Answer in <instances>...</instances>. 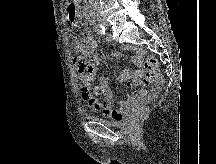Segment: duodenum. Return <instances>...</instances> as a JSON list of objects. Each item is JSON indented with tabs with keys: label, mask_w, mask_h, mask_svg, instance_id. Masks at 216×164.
<instances>
[{
	"label": "duodenum",
	"mask_w": 216,
	"mask_h": 164,
	"mask_svg": "<svg viewBox=\"0 0 216 164\" xmlns=\"http://www.w3.org/2000/svg\"><path fill=\"white\" fill-rule=\"evenodd\" d=\"M68 7H75V0H68ZM93 9H94V4H87L86 10H87V15H88V21L92 22L93 21Z\"/></svg>",
	"instance_id": "410a0bca"
}]
</instances>
